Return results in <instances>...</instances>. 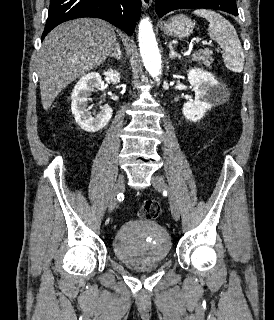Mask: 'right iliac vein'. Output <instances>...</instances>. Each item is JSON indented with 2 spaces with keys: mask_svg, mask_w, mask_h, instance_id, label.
<instances>
[{
  "mask_svg": "<svg viewBox=\"0 0 274 320\" xmlns=\"http://www.w3.org/2000/svg\"><path fill=\"white\" fill-rule=\"evenodd\" d=\"M125 189V181L123 177H120L114 187L110 203H109V212H112L117 205V195L123 192Z\"/></svg>",
  "mask_w": 274,
  "mask_h": 320,
  "instance_id": "right-iliac-vein-1",
  "label": "right iliac vein"
}]
</instances>
